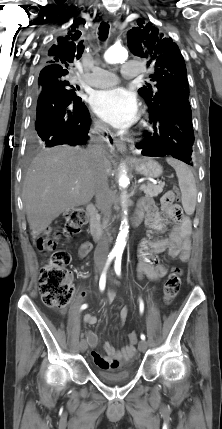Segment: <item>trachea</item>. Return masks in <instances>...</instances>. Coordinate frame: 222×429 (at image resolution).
<instances>
[{"label": "trachea", "mask_w": 222, "mask_h": 429, "mask_svg": "<svg viewBox=\"0 0 222 429\" xmlns=\"http://www.w3.org/2000/svg\"><path fill=\"white\" fill-rule=\"evenodd\" d=\"M109 24L107 22H101L99 27V39L105 41L109 34Z\"/></svg>", "instance_id": "obj_1"}]
</instances>
